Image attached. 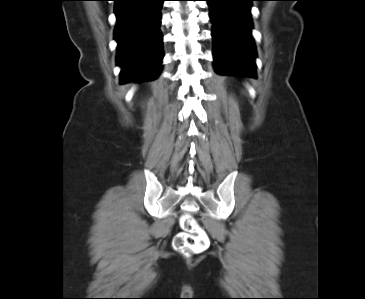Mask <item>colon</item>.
I'll return each instance as SVG.
<instances>
[{"label": "colon", "mask_w": 365, "mask_h": 299, "mask_svg": "<svg viewBox=\"0 0 365 299\" xmlns=\"http://www.w3.org/2000/svg\"><path fill=\"white\" fill-rule=\"evenodd\" d=\"M182 232L174 239V247L185 254L200 253L208 248L210 238L198 221L185 214L180 219Z\"/></svg>", "instance_id": "1"}]
</instances>
